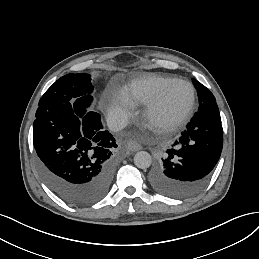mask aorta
<instances>
[{"label":"aorta","instance_id":"obj_1","mask_svg":"<svg viewBox=\"0 0 259 259\" xmlns=\"http://www.w3.org/2000/svg\"><path fill=\"white\" fill-rule=\"evenodd\" d=\"M151 163V155L146 151H139L134 156V164L140 169H146L150 167Z\"/></svg>","mask_w":259,"mask_h":259}]
</instances>
